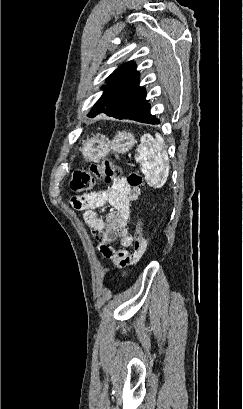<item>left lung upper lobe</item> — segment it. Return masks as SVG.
<instances>
[{"instance_id":"left-lung-upper-lobe-1","label":"left lung upper lobe","mask_w":243,"mask_h":409,"mask_svg":"<svg viewBox=\"0 0 243 409\" xmlns=\"http://www.w3.org/2000/svg\"><path fill=\"white\" fill-rule=\"evenodd\" d=\"M106 83L108 86L102 87L104 93L88 114L89 117L105 112L119 115L146 98L145 89L139 86L136 65L132 61L122 64L107 78Z\"/></svg>"}]
</instances>
